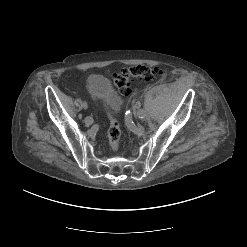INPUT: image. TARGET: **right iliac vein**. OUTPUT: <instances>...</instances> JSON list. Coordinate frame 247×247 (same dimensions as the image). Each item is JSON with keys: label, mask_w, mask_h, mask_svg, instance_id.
Here are the masks:
<instances>
[{"label": "right iliac vein", "mask_w": 247, "mask_h": 247, "mask_svg": "<svg viewBox=\"0 0 247 247\" xmlns=\"http://www.w3.org/2000/svg\"><path fill=\"white\" fill-rule=\"evenodd\" d=\"M84 121L87 125H91L93 123V118L92 117H86Z\"/></svg>", "instance_id": "obj_1"}]
</instances>
